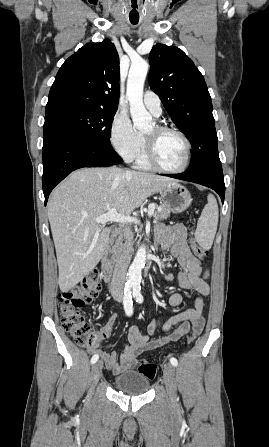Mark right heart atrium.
Segmentation results:
<instances>
[{
	"label": "right heart atrium",
	"mask_w": 269,
	"mask_h": 447,
	"mask_svg": "<svg viewBox=\"0 0 269 447\" xmlns=\"http://www.w3.org/2000/svg\"><path fill=\"white\" fill-rule=\"evenodd\" d=\"M110 142L126 160H133L138 152L140 134L134 129L129 116L117 110L110 125Z\"/></svg>",
	"instance_id": "obj_1"
}]
</instances>
